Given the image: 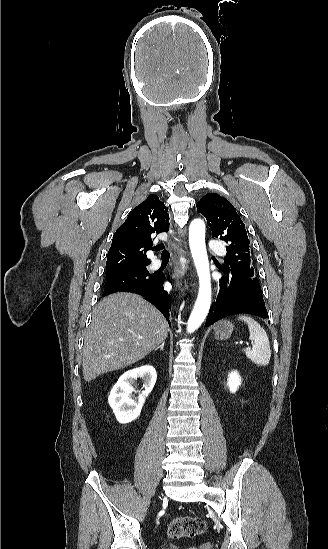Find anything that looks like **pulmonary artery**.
<instances>
[{
  "mask_svg": "<svg viewBox=\"0 0 328 549\" xmlns=\"http://www.w3.org/2000/svg\"><path fill=\"white\" fill-rule=\"evenodd\" d=\"M213 249L216 247L214 244L211 246ZM161 262L156 257H152L150 259V267L151 268H158L160 266Z\"/></svg>",
  "mask_w": 328,
  "mask_h": 549,
  "instance_id": "obj_1",
  "label": "pulmonary artery"
}]
</instances>
